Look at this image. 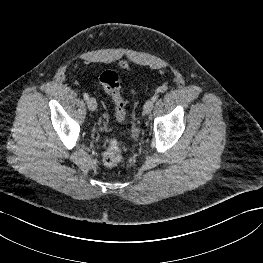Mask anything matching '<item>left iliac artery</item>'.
<instances>
[{
	"label": "left iliac artery",
	"mask_w": 263,
	"mask_h": 263,
	"mask_svg": "<svg viewBox=\"0 0 263 263\" xmlns=\"http://www.w3.org/2000/svg\"><path fill=\"white\" fill-rule=\"evenodd\" d=\"M157 99H158V96H157V95H154V96L151 98V100H152L153 102H155Z\"/></svg>",
	"instance_id": "left-iliac-artery-1"
}]
</instances>
